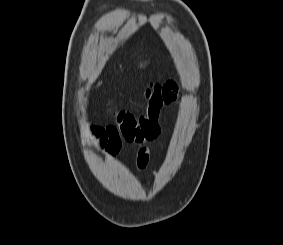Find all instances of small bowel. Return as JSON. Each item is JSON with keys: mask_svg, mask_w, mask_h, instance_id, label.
<instances>
[{"mask_svg": "<svg viewBox=\"0 0 283 245\" xmlns=\"http://www.w3.org/2000/svg\"><path fill=\"white\" fill-rule=\"evenodd\" d=\"M162 85L163 105L169 106L175 102L178 93V85L173 80H168ZM90 135L95 139L98 148H105L109 157L115 156L121 146V137L115 126H91ZM153 151L148 146L138 149L136 155V169L138 171H149L152 175L157 172L150 167Z\"/></svg>", "mask_w": 283, "mask_h": 245, "instance_id": "c3829d8e", "label": "small bowel"}]
</instances>
